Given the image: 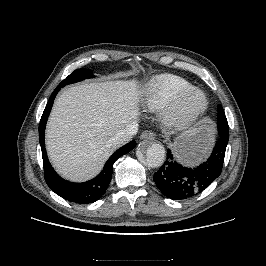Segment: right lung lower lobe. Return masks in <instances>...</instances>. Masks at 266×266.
Listing matches in <instances>:
<instances>
[{"label": "right lung lower lobe", "instance_id": "obj_1", "mask_svg": "<svg viewBox=\"0 0 266 266\" xmlns=\"http://www.w3.org/2000/svg\"><path fill=\"white\" fill-rule=\"evenodd\" d=\"M60 86L51 94V97L45 107L43 115L39 124V141L42 150L43 166H44V177L48 186L59 196L65 200L79 203L87 204L98 200L103 193L106 191L107 187L112 178L113 164L122 155L131 151L135 146L136 142L133 140L128 144L124 145L118 149L106 162L101 173L94 179L84 182V183H72L62 179L52 168L49 163L44 141V133L46 122L53 105L54 99Z\"/></svg>", "mask_w": 266, "mask_h": 266}]
</instances>
